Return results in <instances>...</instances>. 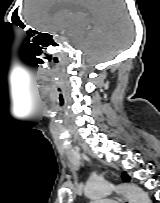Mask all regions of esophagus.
Returning a JSON list of instances; mask_svg holds the SVG:
<instances>
[{"instance_id": "34e87169", "label": "esophagus", "mask_w": 160, "mask_h": 203, "mask_svg": "<svg viewBox=\"0 0 160 203\" xmlns=\"http://www.w3.org/2000/svg\"><path fill=\"white\" fill-rule=\"evenodd\" d=\"M123 203H130L129 201H127V200H125V201H123Z\"/></svg>"}]
</instances>
